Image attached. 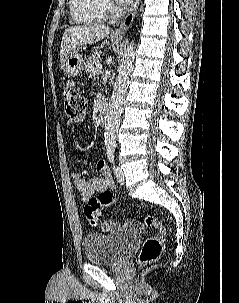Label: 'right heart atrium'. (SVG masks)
I'll list each match as a JSON object with an SVG mask.
<instances>
[{
  "mask_svg": "<svg viewBox=\"0 0 239 303\" xmlns=\"http://www.w3.org/2000/svg\"><path fill=\"white\" fill-rule=\"evenodd\" d=\"M103 9L105 12L111 13L114 10V7L110 0H102Z\"/></svg>",
  "mask_w": 239,
  "mask_h": 303,
  "instance_id": "right-heart-atrium-1",
  "label": "right heart atrium"
}]
</instances>
